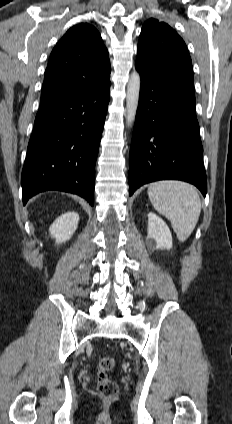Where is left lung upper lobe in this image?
<instances>
[{"label": "left lung upper lobe", "mask_w": 232, "mask_h": 424, "mask_svg": "<svg viewBox=\"0 0 232 424\" xmlns=\"http://www.w3.org/2000/svg\"><path fill=\"white\" fill-rule=\"evenodd\" d=\"M135 66L141 78L149 80H193L186 44L169 25L156 19H149L142 27Z\"/></svg>", "instance_id": "1"}]
</instances>
